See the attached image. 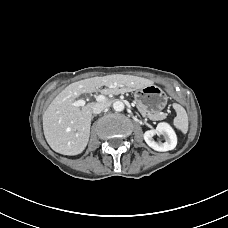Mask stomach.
<instances>
[{
  "label": "stomach",
  "instance_id": "obj_1",
  "mask_svg": "<svg viewBox=\"0 0 228 228\" xmlns=\"http://www.w3.org/2000/svg\"><path fill=\"white\" fill-rule=\"evenodd\" d=\"M135 101L140 110L150 113L161 111L167 104V96L164 91L156 85H147L135 92Z\"/></svg>",
  "mask_w": 228,
  "mask_h": 228
}]
</instances>
